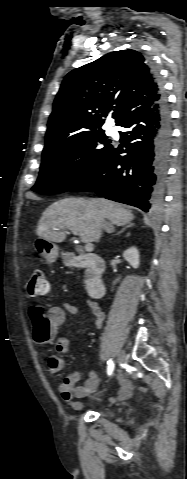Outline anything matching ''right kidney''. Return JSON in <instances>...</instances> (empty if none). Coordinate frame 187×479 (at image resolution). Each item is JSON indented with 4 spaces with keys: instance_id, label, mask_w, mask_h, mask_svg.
Here are the masks:
<instances>
[{
    "instance_id": "1",
    "label": "right kidney",
    "mask_w": 187,
    "mask_h": 479,
    "mask_svg": "<svg viewBox=\"0 0 187 479\" xmlns=\"http://www.w3.org/2000/svg\"><path fill=\"white\" fill-rule=\"evenodd\" d=\"M123 256L126 261L129 262V264L133 268H138L140 264V259H139V251L135 247H131L127 250L124 251Z\"/></svg>"
}]
</instances>
